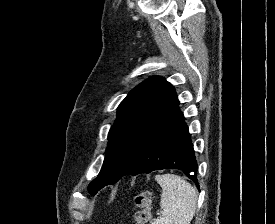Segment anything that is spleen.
I'll return each instance as SVG.
<instances>
[{
  "instance_id": "3e777b00",
  "label": "spleen",
  "mask_w": 275,
  "mask_h": 224,
  "mask_svg": "<svg viewBox=\"0 0 275 224\" xmlns=\"http://www.w3.org/2000/svg\"><path fill=\"white\" fill-rule=\"evenodd\" d=\"M162 187L161 216L151 224H190L197 208V191L187 181L175 174L156 175Z\"/></svg>"
}]
</instances>
